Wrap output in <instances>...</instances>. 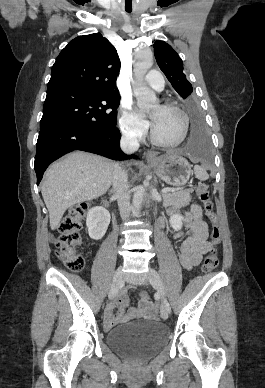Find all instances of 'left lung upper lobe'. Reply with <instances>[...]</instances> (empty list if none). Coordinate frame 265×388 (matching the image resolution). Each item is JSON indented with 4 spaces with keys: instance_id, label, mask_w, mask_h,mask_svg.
Wrapping results in <instances>:
<instances>
[{
    "instance_id": "5c2ea615",
    "label": "left lung upper lobe",
    "mask_w": 265,
    "mask_h": 388,
    "mask_svg": "<svg viewBox=\"0 0 265 388\" xmlns=\"http://www.w3.org/2000/svg\"><path fill=\"white\" fill-rule=\"evenodd\" d=\"M154 55L160 69L163 71L173 88L182 98H187L192 93L191 83L186 79L183 73V62L174 49L164 41L154 43ZM189 108L196 106L189 103Z\"/></svg>"
}]
</instances>
